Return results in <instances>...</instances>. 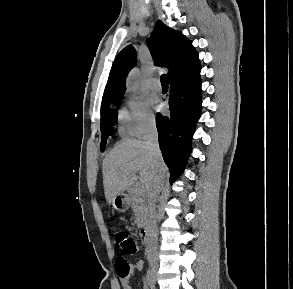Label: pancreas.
I'll return each instance as SVG.
<instances>
[{
	"label": "pancreas",
	"instance_id": "1",
	"mask_svg": "<svg viewBox=\"0 0 293 289\" xmlns=\"http://www.w3.org/2000/svg\"><path fill=\"white\" fill-rule=\"evenodd\" d=\"M129 201L132 206V210L135 215V223L138 227H142L144 225V222L146 220V213H147V205L146 200L143 194L133 193Z\"/></svg>",
	"mask_w": 293,
	"mask_h": 289
}]
</instances>
